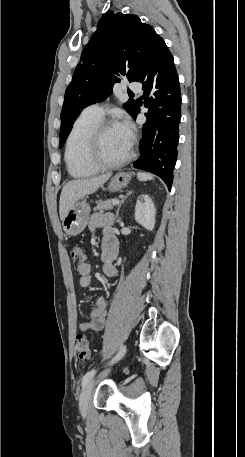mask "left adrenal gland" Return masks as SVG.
<instances>
[{"label":"left adrenal gland","instance_id":"left-adrenal-gland-1","mask_svg":"<svg viewBox=\"0 0 245 457\" xmlns=\"http://www.w3.org/2000/svg\"><path fill=\"white\" fill-rule=\"evenodd\" d=\"M132 192H133V190H127L126 196H124V198H122L120 204H118V208H117V210H116V216H115V218H118V216H119V210H120V208H121V206H122L124 200H126L127 196H129V194H132Z\"/></svg>","mask_w":245,"mask_h":457}]
</instances>
